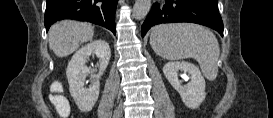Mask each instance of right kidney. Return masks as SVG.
I'll return each instance as SVG.
<instances>
[{
	"mask_svg": "<svg viewBox=\"0 0 273 118\" xmlns=\"http://www.w3.org/2000/svg\"><path fill=\"white\" fill-rule=\"evenodd\" d=\"M96 55L100 61V69L97 75L93 76L92 85L85 87L86 76L91 72L86 66L87 58ZM111 57L109 44L104 40H96L82 46L71 58L66 69L71 96L77 106L83 112L90 111L99 97V79L108 66Z\"/></svg>",
	"mask_w": 273,
	"mask_h": 118,
	"instance_id": "obj_1",
	"label": "right kidney"
}]
</instances>
